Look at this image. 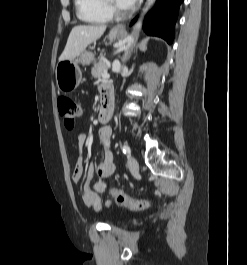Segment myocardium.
<instances>
[{
	"label": "myocardium",
	"mask_w": 247,
	"mask_h": 265,
	"mask_svg": "<svg viewBox=\"0 0 247 265\" xmlns=\"http://www.w3.org/2000/svg\"><path fill=\"white\" fill-rule=\"evenodd\" d=\"M106 3H107V7H108L109 11L111 12V14H114V15L119 16V17L124 16L126 14V12L119 9L115 5V3H113L112 0H106Z\"/></svg>",
	"instance_id": "f54148a6"
}]
</instances>
